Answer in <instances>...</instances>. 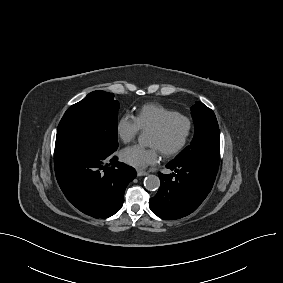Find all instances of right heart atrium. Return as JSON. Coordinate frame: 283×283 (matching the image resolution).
<instances>
[{
	"label": "right heart atrium",
	"mask_w": 283,
	"mask_h": 283,
	"mask_svg": "<svg viewBox=\"0 0 283 283\" xmlns=\"http://www.w3.org/2000/svg\"><path fill=\"white\" fill-rule=\"evenodd\" d=\"M140 130V126L133 115L123 114L116 121L117 136L124 143L134 140Z\"/></svg>",
	"instance_id": "d8ad5b80"
}]
</instances>
